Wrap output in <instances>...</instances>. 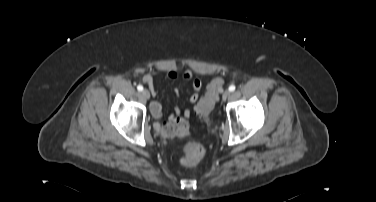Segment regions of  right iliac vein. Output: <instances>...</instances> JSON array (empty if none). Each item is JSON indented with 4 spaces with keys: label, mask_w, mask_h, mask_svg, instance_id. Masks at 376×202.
<instances>
[{
    "label": "right iliac vein",
    "mask_w": 376,
    "mask_h": 202,
    "mask_svg": "<svg viewBox=\"0 0 376 202\" xmlns=\"http://www.w3.org/2000/svg\"><path fill=\"white\" fill-rule=\"evenodd\" d=\"M141 94H142L143 98H145V99H149L150 98V93L146 89L142 90Z\"/></svg>",
    "instance_id": "right-iliac-vein-1"
}]
</instances>
